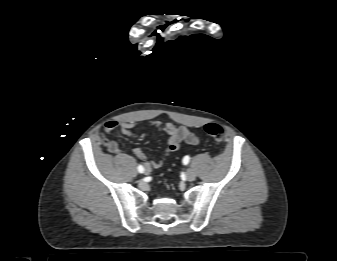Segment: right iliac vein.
Returning <instances> with one entry per match:
<instances>
[{"mask_svg": "<svg viewBox=\"0 0 337 261\" xmlns=\"http://www.w3.org/2000/svg\"><path fill=\"white\" fill-rule=\"evenodd\" d=\"M150 172H151L150 168H146V169L144 170L145 175H148Z\"/></svg>", "mask_w": 337, "mask_h": 261, "instance_id": "obj_1", "label": "right iliac vein"}]
</instances>
